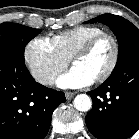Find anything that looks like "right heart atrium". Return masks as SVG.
<instances>
[{
  "instance_id": "right-heart-atrium-1",
  "label": "right heart atrium",
  "mask_w": 139,
  "mask_h": 139,
  "mask_svg": "<svg viewBox=\"0 0 139 139\" xmlns=\"http://www.w3.org/2000/svg\"><path fill=\"white\" fill-rule=\"evenodd\" d=\"M24 60L34 79L43 85L51 84L69 63L45 37L34 38L26 45Z\"/></svg>"
}]
</instances>
